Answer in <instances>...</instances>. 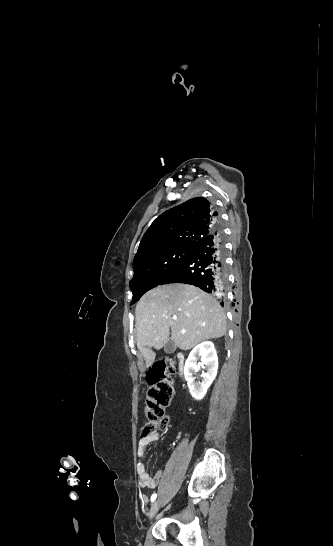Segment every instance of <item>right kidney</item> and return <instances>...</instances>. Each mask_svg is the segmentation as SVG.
Returning <instances> with one entry per match:
<instances>
[{
  "instance_id": "1",
  "label": "right kidney",
  "mask_w": 333,
  "mask_h": 546,
  "mask_svg": "<svg viewBox=\"0 0 333 546\" xmlns=\"http://www.w3.org/2000/svg\"><path fill=\"white\" fill-rule=\"evenodd\" d=\"M198 357L206 366V372L202 373V381L195 382V374L199 369ZM218 357L212 342H203L190 352L184 366V376L192 397L201 400L217 375Z\"/></svg>"
}]
</instances>
